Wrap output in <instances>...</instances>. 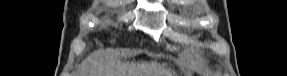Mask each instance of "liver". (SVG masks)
<instances>
[{
	"label": "liver",
	"instance_id": "obj_1",
	"mask_svg": "<svg viewBox=\"0 0 287 76\" xmlns=\"http://www.w3.org/2000/svg\"><path fill=\"white\" fill-rule=\"evenodd\" d=\"M82 76H162L169 74L156 62L133 64L117 59V51L102 49L89 54L81 64ZM165 72V73H164Z\"/></svg>",
	"mask_w": 287,
	"mask_h": 76
}]
</instances>
